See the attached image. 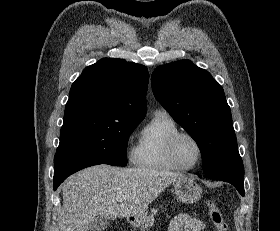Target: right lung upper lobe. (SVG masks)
<instances>
[{
  "label": "right lung upper lobe",
  "instance_id": "cb5924a9",
  "mask_svg": "<svg viewBox=\"0 0 280 231\" xmlns=\"http://www.w3.org/2000/svg\"><path fill=\"white\" fill-rule=\"evenodd\" d=\"M149 73L145 66L103 58L74 81L64 119L120 118L142 120L146 114Z\"/></svg>",
  "mask_w": 280,
  "mask_h": 231
}]
</instances>
